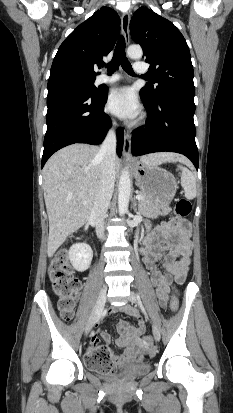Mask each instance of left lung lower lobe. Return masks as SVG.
Returning <instances> with one entry per match:
<instances>
[{
	"instance_id": "obj_1",
	"label": "left lung lower lobe",
	"mask_w": 233,
	"mask_h": 413,
	"mask_svg": "<svg viewBox=\"0 0 233 413\" xmlns=\"http://www.w3.org/2000/svg\"><path fill=\"white\" fill-rule=\"evenodd\" d=\"M142 100L149 118L145 127L141 126L133 132L132 154L177 152L188 157L198 170L194 101L171 95L160 97L156 102L148 101L143 96Z\"/></svg>"
}]
</instances>
